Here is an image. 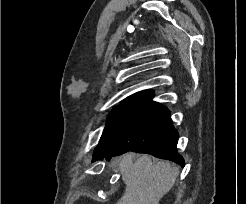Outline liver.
I'll return each mask as SVG.
<instances>
[{
    "label": "liver",
    "mask_w": 246,
    "mask_h": 204,
    "mask_svg": "<svg viewBox=\"0 0 246 204\" xmlns=\"http://www.w3.org/2000/svg\"><path fill=\"white\" fill-rule=\"evenodd\" d=\"M118 167L126 188L116 204H158L179 174L169 162H153L149 155L134 160L133 153L126 154Z\"/></svg>",
    "instance_id": "6515ba94"
}]
</instances>
